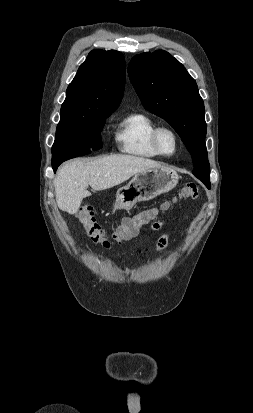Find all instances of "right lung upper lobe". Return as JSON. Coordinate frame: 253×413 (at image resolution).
Listing matches in <instances>:
<instances>
[{"instance_id":"1","label":"right lung upper lobe","mask_w":253,"mask_h":413,"mask_svg":"<svg viewBox=\"0 0 253 413\" xmlns=\"http://www.w3.org/2000/svg\"><path fill=\"white\" fill-rule=\"evenodd\" d=\"M125 88V59L121 52L92 50L69 84L61 119L114 112Z\"/></svg>"}]
</instances>
